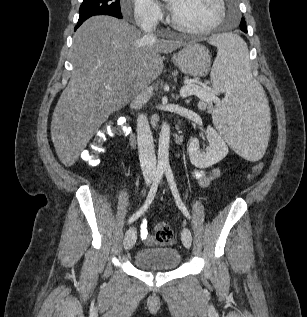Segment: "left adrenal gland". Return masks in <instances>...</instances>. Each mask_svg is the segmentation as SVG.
I'll return each instance as SVG.
<instances>
[{
  "label": "left adrenal gland",
  "instance_id": "1",
  "mask_svg": "<svg viewBox=\"0 0 307 317\" xmlns=\"http://www.w3.org/2000/svg\"><path fill=\"white\" fill-rule=\"evenodd\" d=\"M190 101H191V100H190V99H188V100H186L185 102H186V103H189Z\"/></svg>",
  "mask_w": 307,
  "mask_h": 317
}]
</instances>
